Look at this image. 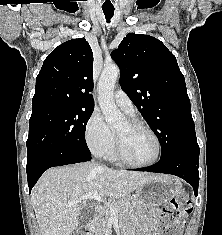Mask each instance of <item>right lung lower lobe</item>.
I'll return each mask as SVG.
<instances>
[{"label": "right lung lower lobe", "instance_id": "obj_1", "mask_svg": "<svg viewBox=\"0 0 222 235\" xmlns=\"http://www.w3.org/2000/svg\"><path fill=\"white\" fill-rule=\"evenodd\" d=\"M90 160L91 153L85 154L72 151H55L38 157L33 162L27 164L26 167L29 191H31L39 177L48 168Z\"/></svg>", "mask_w": 222, "mask_h": 235}]
</instances>
